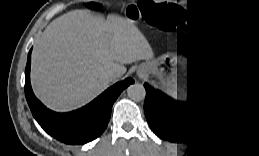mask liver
<instances>
[{"label": "liver", "instance_id": "obj_1", "mask_svg": "<svg viewBox=\"0 0 259 156\" xmlns=\"http://www.w3.org/2000/svg\"><path fill=\"white\" fill-rule=\"evenodd\" d=\"M151 57L150 48L132 21L105 22L88 10H73L54 19L35 42L31 84L48 108L66 112L89 103L126 72L124 64ZM120 76V77H121Z\"/></svg>", "mask_w": 259, "mask_h": 156}]
</instances>
